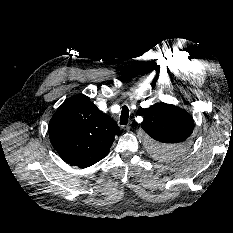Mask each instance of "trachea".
<instances>
[{
    "label": "trachea",
    "mask_w": 233,
    "mask_h": 233,
    "mask_svg": "<svg viewBox=\"0 0 233 233\" xmlns=\"http://www.w3.org/2000/svg\"><path fill=\"white\" fill-rule=\"evenodd\" d=\"M128 118H129V109L126 105H124L121 111L120 124L126 125L128 123Z\"/></svg>",
    "instance_id": "obj_1"
}]
</instances>
